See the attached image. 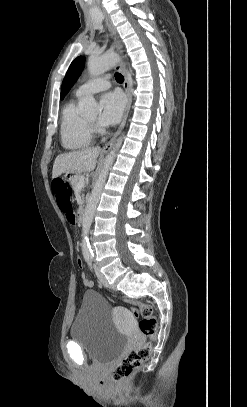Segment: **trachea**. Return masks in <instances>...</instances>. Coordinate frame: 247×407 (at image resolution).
<instances>
[{"mask_svg": "<svg viewBox=\"0 0 247 407\" xmlns=\"http://www.w3.org/2000/svg\"><path fill=\"white\" fill-rule=\"evenodd\" d=\"M115 79L117 82L122 83L124 81V77L120 73H115Z\"/></svg>", "mask_w": 247, "mask_h": 407, "instance_id": "trachea-1", "label": "trachea"}]
</instances>
